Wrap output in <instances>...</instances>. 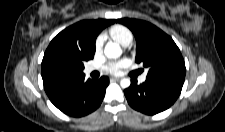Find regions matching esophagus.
Wrapping results in <instances>:
<instances>
[{"label":"esophagus","instance_id":"obj_1","mask_svg":"<svg viewBox=\"0 0 225 132\" xmlns=\"http://www.w3.org/2000/svg\"><path fill=\"white\" fill-rule=\"evenodd\" d=\"M110 80H111V81H119L120 78H119V77H111Z\"/></svg>","mask_w":225,"mask_h":132}]
</instances>
